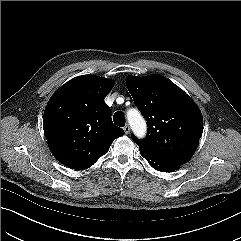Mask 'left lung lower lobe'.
<instances>
[{
	"label": "left lung lower lobe",
	"instance_id": "0a47b994",
	"mask_svg": "<svg viewBox=\"0 0 241 241\" xmlns=\"http://www.w3.org/2000/svg\"><path fill=\"white\" fill-rule=\"evenodd\" d=\"M143 158L156 170L161 172H170L179 168L180 164L161 159L155 155L150 154L142 149H139Z\"/></svg>",
	"mask_w": 241,
	"mask_h": 241
}]
</instances>
